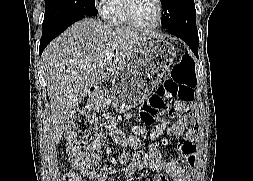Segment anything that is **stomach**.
<instances>
[{
	"instance_id": "obj_1",
	"label": "stomach",
	"mask_w": 253,
	"mask_h": 181,
	"mask_svg": "<svg viewBox=\"0 0 253 181\" xmlns=\"http://www.w3.org/2000/svg\"><path fill=\"white\" fill-rule=\"evenodd\" d=\"M175 47L164 40H147L113 76L111 95L95 93L92 103L99 108L112 106L125 112L143 102L169 71Z\"/></svg>"
}]
</instances>
